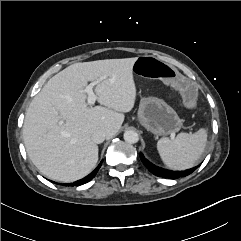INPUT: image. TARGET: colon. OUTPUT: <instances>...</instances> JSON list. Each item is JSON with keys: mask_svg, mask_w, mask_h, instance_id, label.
<instances>
[{"mask_svg": "<svg viewBox=\"0 0 241 241\" xmlns=\"http://www.w3.org/2000/svg\"><path fill=\"white\" fill-rule=\"evenodd\" d=\"M131 70L143 78H153L164 87L176 88L183 95L184 104L193 109L197 104L196 87L175 67L153 56H139L131 63Z\"/></svg>", "mask_w": 241, "mask_h": 241, "instance_id": "1", "label": "colon"}]
</instances>
